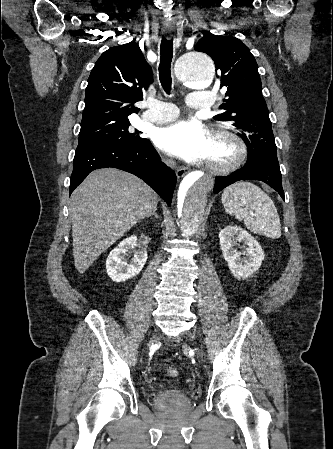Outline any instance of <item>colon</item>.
Wrapping results in <instances>:
<instances>
[{
  "mask_svg": "<svg viewBox=\"0 0 333 449\" xmlns=\"http://www.w3.org/2000/svg\"><path fill=\"white\" fill-rule=\"evenodd\" d=\"M165 372L166 375L170 378H175L178 375V369L173 365L168 366Z\"/></svg>",
  "mask_w": 333,
  "mask_h": 449,
  "instance_id": "5ec220e1",
  "label": "colon"
}]
</instances>
